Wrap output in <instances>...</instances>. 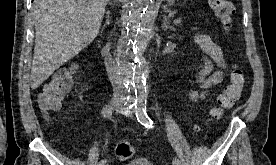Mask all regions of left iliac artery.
<instances>
[{"mask_svg":"<svg viewBox=\"0 0 276 165\" xmlns=\"http://www.w3.org/2000/svg\"><path fill=\"white\" fill-rule=\"evenodd\" d=\"M135 113L138 122H140L146 128H153V121L148 117L146 113V101L140 99L135 104ZM173 165H181L179 159H174Z\"/></svg>","mask_w":276,"mask_h":165,"instance_id":"obj_1","label":"left iliac artery"}]
</instances>
